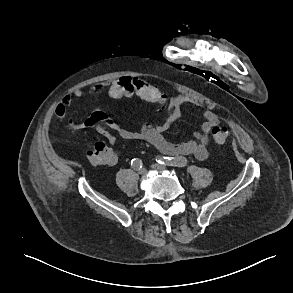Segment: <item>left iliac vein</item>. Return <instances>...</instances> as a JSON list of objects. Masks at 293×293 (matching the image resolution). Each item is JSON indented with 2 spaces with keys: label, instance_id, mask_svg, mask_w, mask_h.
I'll return each mask as SVG.
<instances>
[{
  "label": "left iliac vein",
  "instance_id": "obj_1",
  "mask_svg": "<svg viewBox=\"0 0 293 293\" xmlns=\"http://www.w3.org/2000/svg\"><path fill=\"white\" fill-rule=\"evenodd\" d=\"M150 167H151L152 169H159V170H163V169H165L164 166L159 165V164H156V163H153Z\"/></svg>",
  "mask_w": 293,
  "mask_h": 293
}]
</instances>
